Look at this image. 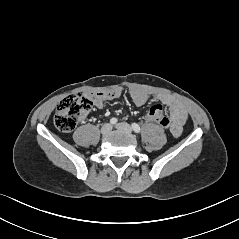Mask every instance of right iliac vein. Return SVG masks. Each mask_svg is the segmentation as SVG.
Instances as JSON below:
<instances>
[{"instance_id": "right-iliac-vein-1", "label": "right iliac vein", "mask_w": 239, "mask_h": 239, "mask_svg": "<svg viewBox=\"0 0 239 239\" xmlns=\"http://www.w3.org/2000/svg\"><path fill=\"white\" fill-rule=\"evenodd\" d=\"M111 130H112L111 124L106 123V124H104V125L102 126V128H101V133H102L103 135H107V134H109V133L111 132Z\"/></svg>"}]
</instances>
